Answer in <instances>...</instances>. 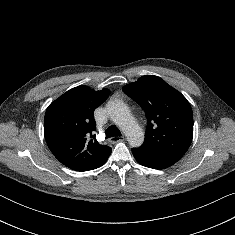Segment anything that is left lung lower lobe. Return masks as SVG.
I'll return each instance as SVG.
<instances>
[{"label": "left lung lower lobe", "mask_w": 235, "mask_h": 235, "mask_svg": "<svg viewBox=\"0 0 235 235\" xmlns=\"http://www.w3.org/2000/svg\"><path fill=\"white\" fill-rule=\"evenodd\" d=\"M135 159L143 166L154 169H165L176 163L182 156L159 150L140 147L132 149Z\"/></svg>", "instance_id": "obj_1"}]
</instances>
